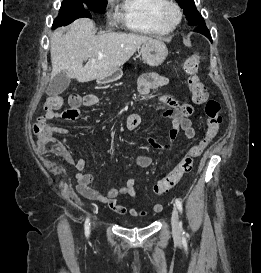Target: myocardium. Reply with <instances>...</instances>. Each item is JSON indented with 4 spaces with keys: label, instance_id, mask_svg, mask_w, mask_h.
Listing matches in <instances>:
<instances>
[{
    "label": "myocardium",
    "instance_id": "f54148a6",
    "mask_svg": "<svg viewBox=\"0 0 261 273\" xmlns=\"http://www.w3.org/2000/svg\"><path fill=\"white\" fill-rule=\"evenodd\" d=\"M173 11L175 16L172 20L168 18V13ZM183 12L181 7L173 0H164L163 4L158 10L159 21L168 29H175L181 22Z\"/></svg>",
    "mask_w": 261,
    "mask_h": 273
}]
</instances>
